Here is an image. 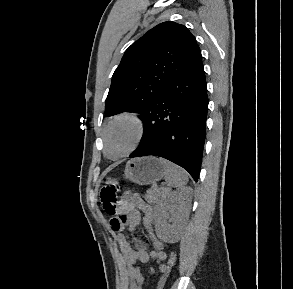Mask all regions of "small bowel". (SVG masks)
I'll list each match as a JSON object with an SVG mask.
<instances>
[{
  "label": "small bowel",
  "instance_id": "obj_1",
  "mask_svg": "<svg viewBox=\"0 0 293 289\" xmlns=\"http://www.w3.org/2000/svg\"><path fill=\"white\" fill-rule=\"evenodd\" d=\"M154 217L155 212L150 204L146 203L139 195H132L126 192L120 197L116 215L111 218V220L116 218L122 223V228L117 230L116 239L124 258L125 271L129 279V289H142L144 283L142 270L137 264H145L153 259L157 262L158 269L161 271L167 257L164 251V243L153 230ZM111 220L110 224L113 228ZM141 220L153 245L154 249L152 251H148L145 242L140 238H134L132 243H129L127 236L122 232L124 226L130 232L134 231ZM153 272L154 269L151 268L150 273Z\"/></svg>",
  "mask_w": 293,
  "mask_h": 289
}]
</instances>
